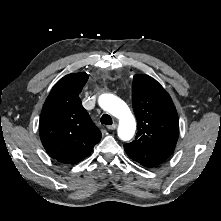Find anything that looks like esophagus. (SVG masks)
<instances>
[{"label":"esophagus","mask_w":221,"mask_h":221,"mask_svg":"<svg viewBox=\"0 0 221 221\" xmlns=\"http://www.w3.org/2000/svg\"><path fill=\"white\" fill-rule=\"evenodd\" d=\"M117 128V124L108 125L107 129L109 130H115Z\"/></svg>","instance_id":"1"}]
</instances>
